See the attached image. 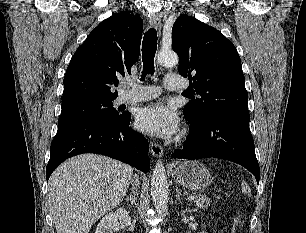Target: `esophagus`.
<instances>
[{"instance_id":"1","label":"esophagus","mask_w":306,"mask_h":233,"mask_svg":"<svg viewBox=\"0 0 306 233\" xmlns=\"http://www.w3.org/2000/svg\"><path fill=\"white\" fill-rule=\"evenodd\" d=\"M149 23L151 27L155 28L158 32V34H161V20L158 16L154 15L150 17ZM150 151L154 157H161L163 155V149L162 147L155 143L150 142Z\"/></svg>"}]
</instances>
